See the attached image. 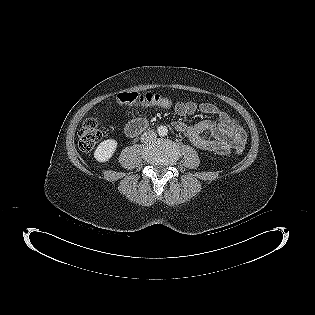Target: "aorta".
<instances>
[{
    "label": "aorta",
    "instance_id": "obj_1",
    "mask_svg": "<svg viewBox=\"0 0 315 315\" xmlns=\"http://www.w3.org/2000/svg\"><path fill=\"white\" fill-rule=\"evenodd\" d=\"M167 133H168V129H167L165 126H161V127L159 128V134H160L161 136L167 135Z\"/></svg>",
    "mask_w": 315,
    "mask_h": 315
}]
</instances>
